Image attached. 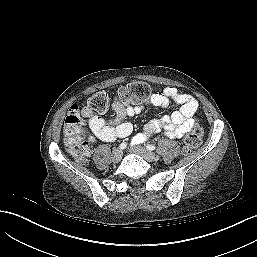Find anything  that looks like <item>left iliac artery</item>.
<instances>
[{
  "label": "left iliac artery",
  "mask_w": 257,
  "mask_h": 257,
  "mask_svg": "<svg viewBox=\"0 0 257 257\" xmlns=\"http://www.w3.org/2000/svg\"><path fill=\"white\" fill-rule=\"evenodd\" d=\"M146 148L150 151H153L156 149V147L154 145H147Z\"/></svg>",
  "instance_id": "44dca946"
}]
</instances>
